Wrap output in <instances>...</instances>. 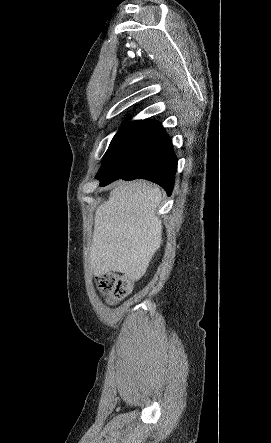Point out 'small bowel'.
Here are the masks:
<instances>
[{
  "label": "small bowel",
  "instance_id": "1",
  "mask_svg": "<svg viewBox=\"0 0 271 443\" xmlns=\"http://www.w3.org/2000/svg\"><path fill=\"white\" fill-rule=\"evenodd\" d=\"M105 300L109 304H116L119 299H116V298H113V297L107 295V296H105Z\"/></svg>",
  "mask_w": 271,
  "mask_h": 443
}]
</instances>
